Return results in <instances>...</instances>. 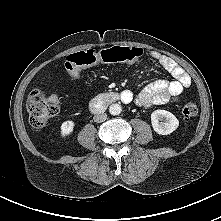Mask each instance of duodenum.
<instances>
[{"mask_svg":"<svg viewBox=\"0 0 221 221\" xmlns=\"http://www.w3.org/2000/svg\"><path fill=\"white\" fill-rule=\"evenodd\" d=\"M131 99L132 96L129 93L108 92L94 99L90 104V109L94 113H101L114 102L129 103Z\"/></svg>","mask_w":221,"mask_h":221,"instance_id":"duodenum-1","label":"duodenum"}]
</instances>
